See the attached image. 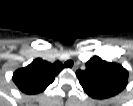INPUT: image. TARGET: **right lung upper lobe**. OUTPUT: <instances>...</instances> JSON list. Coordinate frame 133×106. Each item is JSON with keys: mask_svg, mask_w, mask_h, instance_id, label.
<instances>
[{"mask_svg": "<svg viewBox=\"0 0 133 106\" xmlns=\"http://www.w3.org/2000/svg\"><path fill=\"white\" fill-rule=\"evenodd\" d=\"M62 69L59 61L50 63L37 58L28 66L16 70L12 79L23 93L37 94L45 90Z\"/></svg>", "mask_w": 133, "mask_h": 106, "instance_id": "obj_1", "label": "right lung upper lobe"}]
</instances>
